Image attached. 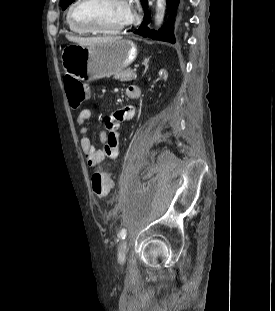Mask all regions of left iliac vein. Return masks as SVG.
I'll use <instances>...</instances> for the list:
<instances>
[{
	"label": "left iliac vein",
	"mask_w": 275,
	"mask_h": 311,
	"mask_svg": "<svg viewBox=\"0 0 275 311\" xmlns=\"http://www.w3.org/2000/svg\"><path fill=\"white\" fill-rule=\"evenodd\" d=\"M126 249H127V241L123 240L119 246H118V251H117V257L119 263H123L126 258Z\"/></svg>",
	"instance_id": "obj_1"
}]
</instances>
